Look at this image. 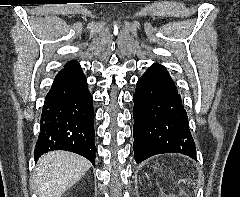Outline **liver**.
Returning a JSON list of instances; mask_svg holds the SVG:
<instances>
[{"mask_svg": "<svg viewBox=\"0 0 240 197\" xmlns=\"http://www.w3.org/2000/svg\"><path fill=\"white\" fill-rule=\"evenodd\" d=\"M91 167L84 157L68 151H52L42 155L33 177L39 197H61Z\"/></svg>", "mask_w": 240, "mask_h": 197, "instance_id": "1", "label": "liver"}]
</instances>
